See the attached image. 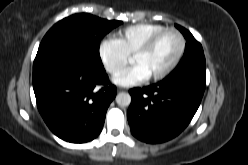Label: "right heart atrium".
Listing matches in <instances>:
<instances>
[{
  "mask_svg": "<svg viewBox=\"0 0 248 165\" xmlns=\"http://www.w3.org/2000/svg\"><path fill=\"white\" fill-rule=\"evenodd\" d=\"M98 55L105 70L111 75L119 73L129 61V55L114 38H107L100 42Z\"/></svg>",
  "mask_w": 248,
  "mask_h": 165,
  "instance_id": "1",
  "label": "right heart atrium"
}]
</instances>
